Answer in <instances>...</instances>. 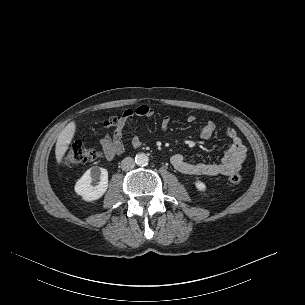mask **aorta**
Masks as SVG:
<instances>
[{"instance_id": "762f6f07", "label": "aorta", "mask_w": 305, "mask_h": 305, "mask_svg": "<svg viewBox=\"0 0 305 305\" xmlns=\"http://www.w3.org/2000/svg\"><path fill=\"white\" fill-rule=\"evenodd\" d=\"M149 158L145 153H138L135 156V163L138 166H146L148 164Z\"/></svg>"}]
</instances>
